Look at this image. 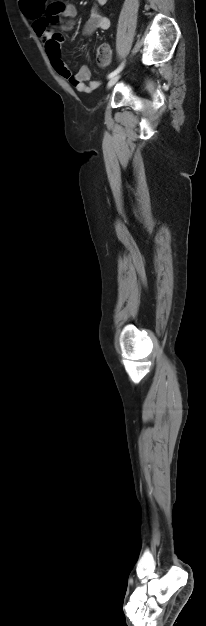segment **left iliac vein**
I'll return each instance as SVG.
<instances>
[{
    "label": "left iliac vein",
    "instance_id": "4c4485c4",
    "mask_svg": "<svg viewBox=\"0 0 206 626\" xmlns=\"http://www.w3.org/2000/svg\"><path fill=\"white\" fill-rule=\"evenodd\" d=\"M119 78H120V75H119V74H116L115 76H113V77H112V78L108 81L107 87H108V88L112 87V86H113V85H114V84H115V83L119 80Z\"/></svg>",
    "mask_w": 206,
    "mask_h": 626
}]
</instances>
